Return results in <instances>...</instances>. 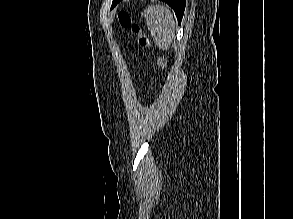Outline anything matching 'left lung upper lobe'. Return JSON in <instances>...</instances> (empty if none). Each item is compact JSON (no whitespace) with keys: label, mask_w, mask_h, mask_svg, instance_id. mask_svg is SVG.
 Returning a JSON list of instances; mask_svg holds the SVG:
<instances>
[{"label":"left lung upper lobe","mask_w":293,"mask_h":219,"mask_svg":"<svg viewBox=\"0 0 293 219\" xmlns=\"http://www.w3.org/2000/svg\"><path fill=\"white\" fill-rule=\"evenodd\" d=\"M116 1H117V0H113V3H115ZM113 3H112V4H113Z\"/></svg>","instance_id":"obj_1"}]
</instances>
